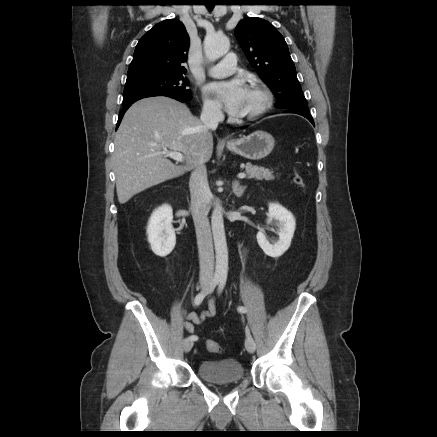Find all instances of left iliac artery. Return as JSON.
I'll return each mask as SVG.
<instances>
[{"label": "left iliac artery", "mask_w": 437, "mask_h": 437, "mask_svg": "<svg viewBox=\"0 0 437 437\" xmlns=\"http://www.w3.org/2000/svg\"><path fill=\"white\" fill-rule=\"evenodd\" d=\"M225 284H226V277L220 278V283H219V287H218V293H221L223 291V289L225 287ZM238 311L242 312V313H245V312H247V309L245 307H243V306H239L238 307Z\"/></svg>", "instance_id": "1"}]
</instances>
